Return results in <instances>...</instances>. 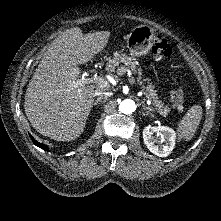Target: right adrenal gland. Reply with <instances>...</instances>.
<instances>
[{
  "label": "right adrenal gland",
  "instance_id": "2a0ac1e0",
  "mask_svg": "<svg viewBox=\"0 0 221 221\" xmlns=\"http://www.w3.org/2000/svg\"><path fill=\"white\" fill-rule=\"evenodd\" d=\"M100 100H101V98H97L96 101L93 103V106L95 107Z\"/></svg>",
  "mask_w": 221,
  "mask_h": 221
}]
</instances>
